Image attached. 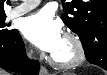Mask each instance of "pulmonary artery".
<instances>
[{
	"mask_svg": "<svg viewBox=\"0 0 107 75\" xmlns=\"http://www.w3.org/2000/svg\"><path fill=\"white\" fill-rule=\"evenodd\" d=\"M39 2L40 1H38V0H25L21 4H19L15 8H13L10 11L9 16L12 18L21 16V15L31 11L32 9H34L39 4Z\"/></svg>",
	"mask_w": 107,
	"mask_h": 75,
	"instance_id": "obj_1",
	"label": "pulmonary artery"
}]
</instances>
